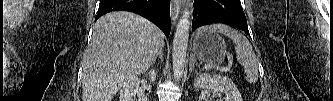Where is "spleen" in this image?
Returning a JSON list of instances; mask_svg holds the SVG:
<instances>
[{
	"label": "spleen",
	"instance_id": "obj_1",
	"mask_svg": "<svg viewBox=\"0 0 333 101\" xmlns=\"http://www.w3.org/2000/svg\"><path fill=\"white\" fill-rule=\"evenodd\" d=\"M203 31L218 32L229 37L236 45L235 52L237 55V61L244 67L246 80L251 84L258 81L257 59L253 48L246 37L237 30L223 24L205 26L198 30V32Z\"/></svg>",
	"mask_w": 333,
	"mask_h": 101
}]
</instances>
